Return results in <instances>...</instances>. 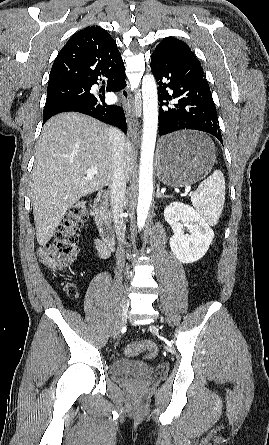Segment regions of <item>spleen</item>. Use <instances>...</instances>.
<instances>
[{"instance_id":"obj_1","label":"spleen","mask_w":269,"mask_h":445,"mask_svg":"<svg viewBox=\"0 0 269 445\" xmlns=\"http://www.w3.org/2000/svg\"><path fill=\"white\" fill-rule=\"evenodd\" d=\"M194 208L211 226H215L225 202V180L220 170L203 180L191 196Z\"/></svg>"}]
</instances>
